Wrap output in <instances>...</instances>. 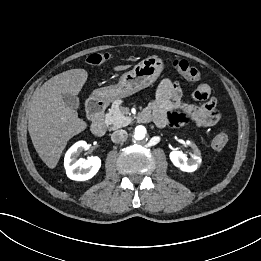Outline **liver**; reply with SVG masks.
<instances>
[{"label": "liver", "instance_id": "liver-1", "mask_svg": "<svg viewBox=\"0 0 261 261\" xmlns=\"http://www.w3.org/2000/svg\"><path fill=\"white\" fill-rule=\"evenodd\" d=\"M130 66L119 65L113 70ZM87 77L84 69L67 70L46 81L31 98L28 131L39 157L51 169L56 167L67 142L87 128L77 111L67 107L62 99V94L78 95Z\"/></svg>", "mask_w": 261, "mask_h": 261}]
</instances>
